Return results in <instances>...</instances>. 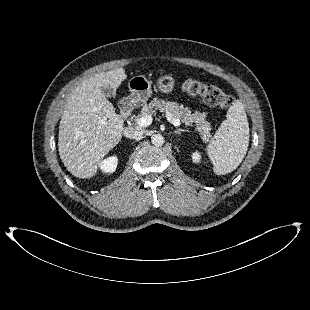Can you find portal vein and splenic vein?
<instances>
[{"mask_svg": "<svg viewBox=\"0 0 310 310\" xmlns=\"http://www.w3.org/2000/svg\"><path fill=\"white\" fill-rule=\"evenodd\" d=\"M152 120H153V118L151 115H145V116L139 118L136 123L138 126L146 127L152 123ZM169 122L171 124H173L174 126H180V124H181L180 120L175 119V118H173V119L169 118Z\"/></svg>", "mask_w": 310, "mask_h": 310, "instance_id": "portal-vein-and-splenic-vein-1", "label": "portal vein and splenic vein"}]
</instances>
